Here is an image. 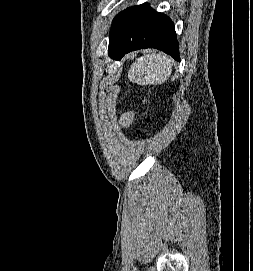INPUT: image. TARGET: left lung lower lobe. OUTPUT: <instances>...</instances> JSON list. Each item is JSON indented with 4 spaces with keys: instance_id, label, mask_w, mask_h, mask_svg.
Listing matches in <instances>:
<instances>
[{
    "instance_id": "1",
    "label": "left lung lower lobe",
    "mask_w": 253,
    "mask_h": 271,
    "mask_svg": "<svg viewBox=\"0 0 253 271\" xmlns=\"http://www.w3.org/2000/svg\"><path fill=\"white\" fill-rule=\"evenodd\" d=\"M141 48H156L180 61L179 46L171 19L148 3L127 8L109 38V56L119 59Z\"/></svg>"
}]
</instances>
